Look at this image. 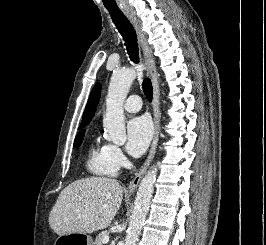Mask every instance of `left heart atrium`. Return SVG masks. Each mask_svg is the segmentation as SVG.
I'll use <instances>...</instances> for the list:
<instances>
[{
	"mask_svg": "<svg viewBox=\"0 0 266 245\" xmlns=\"http://www.w3.org/2000/svg\"><path fill=\"white\" fill-rule=\"evenodd\" d=\"M153 135L151 121L140 116L130 120L126 128V149L132 156L141 155L147 148Z\"/></svg>",
	"mask_w": 266,
	"mask_h": 245,
	"instance_id": "1",
	"label": "left heart atrium"
}]
</instances>
